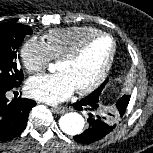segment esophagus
I'll return each instance as SVG.
<instances>
[{
  "label": "esophagus",
  "mask_w": 153,
  "mask_h": 153,
  "mask_svg": "<svg viewBox=\"0 0 153 153\" xmlns=\"http://www.w3.org/2000/svg\"><path fill=\"white\" fill-rule=\"evenodd\" d=\"M52 111L54 113L60 114V113H64L66 111V108L65 107H53Z\"/></svg>",
  "instance_id": "34e87169"
}]
</instances>
